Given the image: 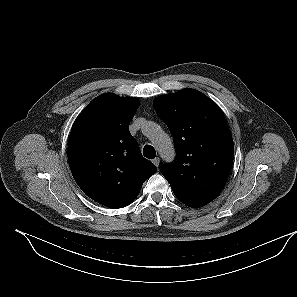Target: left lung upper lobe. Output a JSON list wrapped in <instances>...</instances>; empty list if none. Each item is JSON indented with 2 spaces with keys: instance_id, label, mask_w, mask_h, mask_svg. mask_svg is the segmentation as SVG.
Returning a JSON list of instances; mask_svg holds the SVG:
<instances>
[{
  "instance_id": "left-lung-upper-lobe-1",
  "label": "left lung upper lobe",
  "mask_w": 297,
  "mask_h": 297,
  "mask_svg": "<svg viewBox=\"0 0 297 297\" xmlns=\"http://www.w3.org/2000/svg\"><path fill=\"white\" fill-rule=\"evenodd\" d=\"M153 107L176 147V161L161 169L173 193L189 207L210 203L223 190L234 158L232 135L220 107L193 89L160 96Z\"/></svg>"
}]
</instances>
